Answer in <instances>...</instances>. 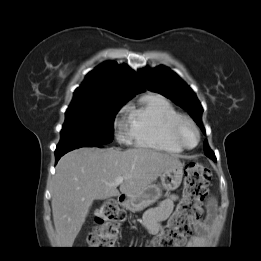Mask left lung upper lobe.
I'll list each match as a JSON object with an SVG mask.
<instances>
[{"instance_id":"obj_1","label":"left lung upper lobe","mask_w":261,"mask_h":261,"mask_svg":"<svg viewBox=\"0 0 261 261\" xmlns=\"http://www.w3.org/2000/svg\"><path fill=\"white\" fill-rule=\"evenodd\" d=\"M141 82L147 89L161 93L180 107L186 109L197 125L204 132L201 121L202 106L193 90L173 71L164 66L155 69L145 67L138 70ZM205 155L216 161L214 152L204 143Z\"/></svg>"}]
</instances>
